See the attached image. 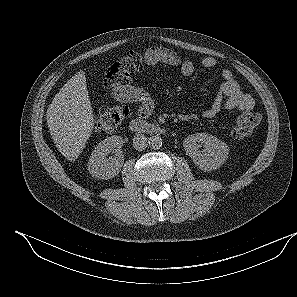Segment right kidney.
<instances>
[{
	"instance_id": "obj_1",
	"label": "right kidney",
	"mask_w": 297,
	"mask_h": 297,
	"mask_svg": "<svg viewBox=\"0 0 297 297\" xmlns=\"http://www.w3.org/2000/svg\"><path fill=\"white\" fill-rule=\"evenodd\" d=\"M122 145V137L116 135L101 141L89 158L88 170L90 174L98 179H111L118 175L124 163ZM111 152H114L115 155L107 158L106 156Z\"/></svg>"
}]
</instances>
